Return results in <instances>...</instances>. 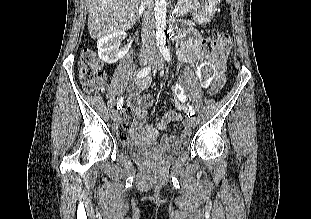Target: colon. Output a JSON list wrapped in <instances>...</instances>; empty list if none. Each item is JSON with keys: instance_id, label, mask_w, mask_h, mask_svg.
Segmentation results:
<instances>
[{"instance_id": "5ec220e1", "label": "colon", "mask_w": 311, "mask_h": 219, "mask_svg": "<svg viewBox=\"0 0 311 219\" xmlns=\"http://www.w3.org/2000/svg\"><path fill=\"white\" fill-rule=\"evenodd\" d=\"M231 50V39L228 34L221 33L208 37L202 42V51L207 58L199 71V77L203 85L208 84L216 75L224 79V63ZM80 81L89 92L103 91L107 76L104 72L100 59L93 49L86 48L80 57ZM127 140V136H121Z\"/></svg>"}]
</instances>
